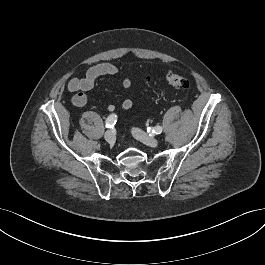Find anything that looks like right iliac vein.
I'll return each mask as SVG.
<instances>
[{
    "label": "right iliac vein",
    "mask_w": 265,
    "mask_h": 265,
    "mask_svg": "<svg viewBox=\"0 0 265 265\" xmlns=\"http://www.w3.org/2000/svg\"><path fill=\"white\" fill-rule=\"evenodd\" d=\"M104 138L109 144H114L116 140L115 133L112 130L106 131Z\"/></svg>",
    "instance_id": "63e3f726"
}]
</instances>
